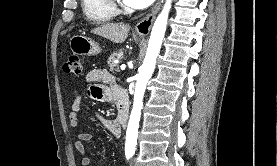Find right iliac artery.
I'll return each mask as SVG.
<instances>
[{
    "label": "right iliac artery",
    "instance_id": "obj_1",
    "mask_svg": "<svg viewBox=\"0 0 277 166\" xmlns=\"http://www.w3.org/2000/svg\"><path fill=\"white\" fill-rule=\"evenodd\" d=\"M131 156H132L131 154H127L126 155L127 160H129L131 158Z\"/></svg>",
    "mask_w": 277,
    "mask_h": 166
}]
</instances>
